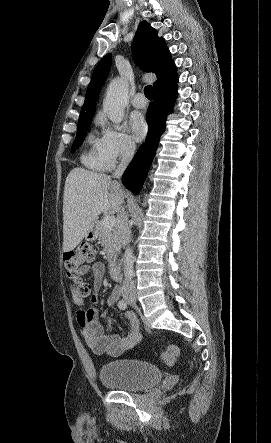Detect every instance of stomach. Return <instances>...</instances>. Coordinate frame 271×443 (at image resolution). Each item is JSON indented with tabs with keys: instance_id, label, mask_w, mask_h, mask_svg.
I'll list each match as a JSON object with an SVG mask.
<instances>
[{
	"instance_id": "obj_1",
	"label": "stomach",
	"mask_w": 271,
	"mask_h": 443,
	"mask_svg": "<svg viewBox=\"0 0 271 443\" xmlns=\"http://www.w3.org/2000/svg\"><path fill=\"white\" fill-rule=\"evenodd\" d=\"M98 235H99V231H98V227H97V222H94L91 227V231H88V233H86L85 239H87V241H95V239H97Z\"/></svg>"
}]
</instances>
